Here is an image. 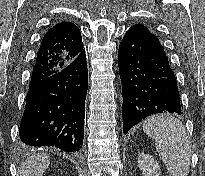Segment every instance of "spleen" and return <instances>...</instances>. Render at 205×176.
<instances>
[{
	"instance_id": "3e777b00",
	"label": "spleen",
	"mask_w": 205,
	"mask_h": 176,
	"mask_svg": "<svg viewBox=\"0 0 205 176\" xmlns=\"http://www.w3.org/2000/svg\"><path fill=\"white\" fill-rule=\"evenodd\" d=\"M143 131L155 140L169 176H187L192 150L183 123L170 115H155L144 122Z\"/></svg>"
}]
</instances>
